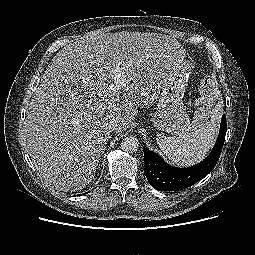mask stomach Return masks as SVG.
<instances>
[{
	"label": "stomach",
	"instance_id": "stomach-1",
	"mask_svg": "<svg viewBox=\"0 0 255 255\" xmlns=\"http://www.w3.org/2000/svg\"><path fill=\"white\" fill-rule=\"evenodd\" d=\"M192 73V64L184 60L178 71L161 89L158 106L151 121L158 130L183 136L193 130L182 102L185 86Z\"/></svg>",
	"mask_w": 255,
	"mask_h": 255
}]
</instances>
